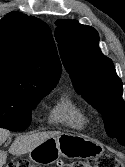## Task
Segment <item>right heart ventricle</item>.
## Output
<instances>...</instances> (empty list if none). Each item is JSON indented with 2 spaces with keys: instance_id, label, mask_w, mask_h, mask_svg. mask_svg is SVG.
<instances>
[{
  "instance_id": "right-heart-ventricle-1",
  "label": "right heart ventricle",
  "mask_w": 125,
  "mask_h": 167,
  "mask_svg": "<svg viewBox=\"0 0 125 167\" xmlns=\"http://www.w3.org/2000/svg\"><path fill=\"white\" fill-rule=\"evenodd\" d=\"M49 123L73 129H82L88 123L85 111L70 96L62 95L52 106Z\"/></svg>"
}]
</instances>
